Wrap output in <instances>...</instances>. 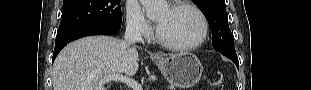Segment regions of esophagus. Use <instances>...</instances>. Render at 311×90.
I'll use <instances>...</instances> for the list:
<instances>
[{"label": "esophagus", "mask_w": 311, "mask_h": 90, "mask_svg": "<svg viewBox=\"0 0 311 90\" xmlns=\"http://www.w3.org/2000/svg\"><path fill=\"white\" fill-rule=\"evenodd\" d=\"M154 57L159 58V57H161V55L159 53H155Z\"/></svg>", "instance_id": "esophagus-1"}]
</instances>
